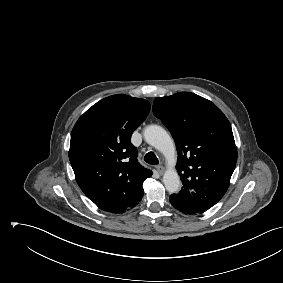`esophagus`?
Instances as JSON below:
<instances>
[{
    "label": "esophagus",
    "mask_w": 283,
    "mask_h": 283,
    "mask_svg": "<svg viewBox=\"0 0 283 283\" xmlns=\"http://www.w3.org/2000/svg\"><path fill=\"white\" fill-rule=\"evenodd\" d=\"M156 169L160 175L164 173V167L162 165L156 166Z\"/></svg>",
    "instance_id": "1"
}]
</instances>
